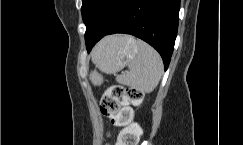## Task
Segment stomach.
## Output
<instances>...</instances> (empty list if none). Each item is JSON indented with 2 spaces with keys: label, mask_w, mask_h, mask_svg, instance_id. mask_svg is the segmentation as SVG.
I'll list each match as a JSON object with an SVG mask.
<instances>
[{
  "label": "stomach",
  "mask_w": 243,
  "mask_h": 145,
  "mask_svg": "<svg viewBox=\"0 0 243 145\" xmlns=\"http://www.w3.org/2000/svg\"><path fill=\"white\" fill-rule=\"evenodd\" d=\"M138 53L136 40L127 35H113L105 38L93 53V62L104 73H115L121 70ZM94 85L103 82L102 75L94 70L90 74Z\"/></svg>",
  "instance_id": "0dacf381"
}]
</instances>
